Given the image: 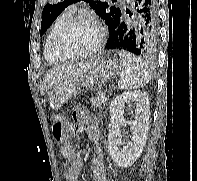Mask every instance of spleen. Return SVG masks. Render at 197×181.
I'll return each instance as SVG.
<instances>
[{
    "label": "spleen",
    "mask_w": 197,
    "mask_h": 181,
    "mask_svg": "<svg viewBox=\"0 0 197 181\" xmlns=\"http://www.w3.org/2000/svg\"><path fill=\"white\" fill-rule=\"evenodd\" d=\"M119 56L121 67L119 89L140 88L151 80L150 69L144 61L126 51H120Z\"/></svg>",
    "instance_id": "obj_1"
}]
</instances>
